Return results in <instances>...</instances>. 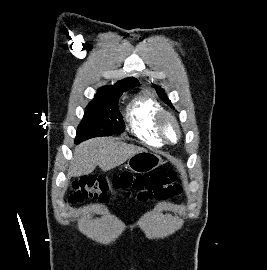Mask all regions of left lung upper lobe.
<instances>
[{"label":"left lung upper lobe","instance_id":"left-lung-upper-lobe-1","mask_svg":"<svg viewBox=\"0 0 267 270\" xmlns=\"http://www.w3.org/2000/svg\"><path fill=\"white\" fill-rule=\"evenodd\" d=\"M155 87H157V86H155ZM156 92L158 93V95L160 96V98H161L166 104L171 105L170 100L167 98V96H166V94L164 93V90H163L162 88L158 87V88L156 89ZM171 107H172V105H171ZM172 108H173V107H172Z\"/></svg>","mask_w":267,"mask_h":270}]
</instances>
